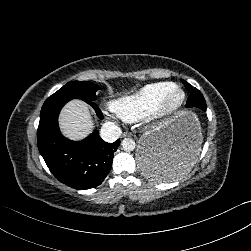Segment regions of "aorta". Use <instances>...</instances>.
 <instances>
[{
  "label": "aorta",
  "instance_id": "obj_1",
  "mask_svg": "<svg viewBox=\"0 0 251 251\" xmlns=\"http://www.w3.org/2000/svg\"><path fill=\"white\" fill-rule=\"evenodd\" d=\"M135 146H136V143L132 138H124L121 141V147L124 150L132 151L135 148Z\"/></svg>",
  "mask_w": 251,
  "mask_h": 251
}]
</instances>
